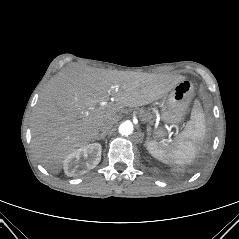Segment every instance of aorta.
<instances>
[{
  "instance_id": "1",
  "label": "aorta",
  "mask_w": 239,
  "mask_h": 239,
  "mask_svg": "<svg viewBox=\"0 0 239 239\" xmlns=\"http://www.w3.org/2000/svg\"><path fill=\"white\" fill-rule=\"evenodd\" d=\"M133 124L130 121H125L120 124L118 131L123 136H129L133 133Z\"/></svg>"
}]
</instances>
